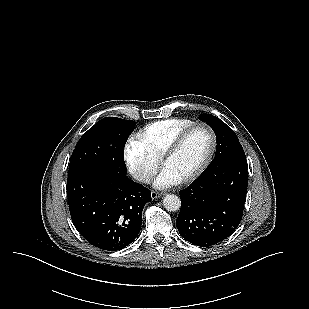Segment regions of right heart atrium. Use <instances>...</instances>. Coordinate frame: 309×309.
Returning <instances> with one entry per match:
<instances>
[{"label":"right heart atrium","mask_w":309,"mask_h":309,"mask_svg":"<svg viewBox=\"0 0 309 309\" xmlns=\"http://www.w3.org/2000/svg\"><path fill=\"white\" fill-rule=\"evenodd\" d=\"M124 159L132 176L141 183L149 182L160 166V160L136 140L126 143Z\"/></svg>","instance_id":"obj_1"}]
</instances>
